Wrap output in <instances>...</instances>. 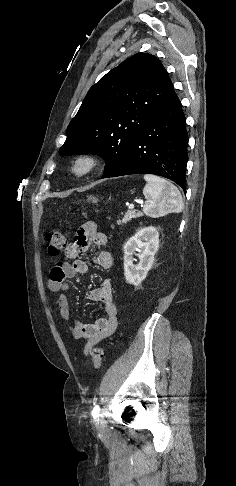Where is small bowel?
<instances>
[{
    "instance_id": "c3829d8e",
    "label": "small bowel",
    "mask_w": 236,
    "mask_h": 486,
    "mask_svg": "<svg viewBox=\"0 0 236 486\" xmlns=\"http://www.w3.org/2000/svg\"><path fill=\"white\" fill-rule=\"evenodd\" d=\"M108 239L104 233L97 229L93 221L84 222L78 229L75 240L65 248V260L58 261L50 271L48 287L53 292H60L57 303L60 316L65 323L70 318V301L67 291L68 280L84 275L88 271L87 263L79 256L90 246L97 245L102 249L95 255L94 263L103 270H109L113 265L111 254L107 251ZM86 298L100 302L103 305L105 315L92 323L83 324L78 321L70 326L75 339L85 342L84 353L88 355L90 350L102 339L113 334L117 327V306L114 302L112 284L110 280L86 293Z\"/></svg>"
}]
</instances>
